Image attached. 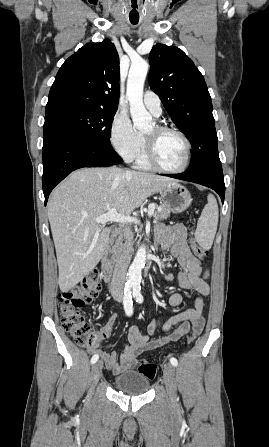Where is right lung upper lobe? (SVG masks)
<instances>
[{
	"label": "right lung upper lobe",
	"mask_w": 269,
	"mask_h": 447,
	"mask_svg": "<svg viewBox=\"0 0 269 447\" xmlns=\"http://www.w3.org/2000/svg\"><path fill=\"white\" fill-rule=\"evenodd\" d=\"M119 78L114 44L108 39L88 43L61 66L50 89L46 113L63 107L117 109Z\"/></svg>",
	"instance_id": "cb5924a9"
}]
</instances>
